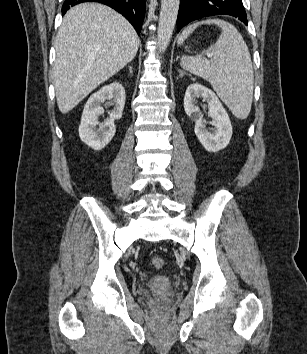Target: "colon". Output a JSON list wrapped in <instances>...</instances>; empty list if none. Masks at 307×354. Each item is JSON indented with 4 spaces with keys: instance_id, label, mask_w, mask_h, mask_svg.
<instances>
[{
    "instance_id": "1",
    "label": "colon",
    "mask_w": 307,
    "mask_h": 354,
    "mask_svg": "<svg viewBox=\"0 0 307 354\" xmlns=\"http://www.w3.org/2000/svg\"><path fill=\"white\" fill-rule=\"evenodd\" d=\"M151 263L153 265L154 268L156 269H160L163 267L164 265V260L159 257V256H154L152 259H151Z\"/></svg>"
}]
</instances>
